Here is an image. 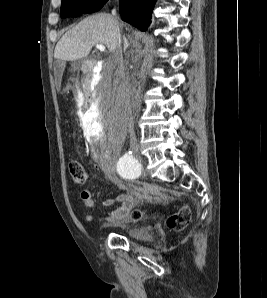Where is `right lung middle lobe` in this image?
I'll return each mask as SVG.
<instances>
[{
    "mask_svg": "<svg viewBox=\"0 0 267 298\" xmlns=\"http://www.w3.org/2000/svg\"><path fill=\"white\" fill-rule=\"evenodd\" d=\"M108 0H62L60 14L63 18L93 13L100 10Z\"/></svg>",
    "mask_w": 267,
    "mask_h": 298,
    "instance_id": "right-lung-middle-lobe-1",
    "label": "right lung middle lobe"
}]
</instances>
